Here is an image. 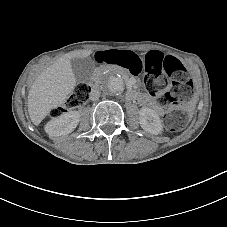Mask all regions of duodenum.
<instances>
[{"label":"duodenum","instance_id":"obj_1","mask_svg":"<svg viewBox=\"0 0 227 227\" xmlns=\"http://www.w3.org/2000/svg\"><path fill=\"white\" fill-rule=\"evenodd\" d=\"M130 96H134V94L133 93H130ZM146 98H147V95H142L139 99H140V103L142 104V105H146Z\"/></svg>","mask_w":227,"mask_h":227}]
</instances>
